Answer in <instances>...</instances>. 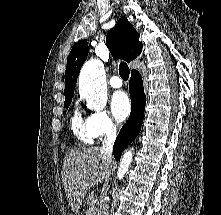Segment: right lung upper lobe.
Returning a JSON list of instances; mask_svg holds the SVG:
<instances>
[{"instance_id":"obj_1","label":"right lung upper lobe","mask_w":221,"mask_h":215,"mask_svg":"<svg viewBox=\"0 0 221 215\" xmlns=\"http://www.w3.org/2000/svg\"><path fill=\"white\" fill-rule=\"evenodd\" d=\"M106 43L113 56L127 62L134 60L142 51L139 34L125 17L120 18L115 27L109 30ZM88 50L87 41L81 40L74 45L68 56L65 71V101L72 100L77 77L87 59Z\"/></svg>"}]
</instances>
